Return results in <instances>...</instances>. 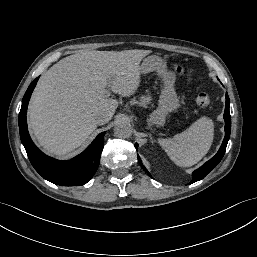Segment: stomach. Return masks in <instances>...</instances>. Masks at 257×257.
Here are the masks:
<instances>
[{"label":"stomach","instance_id":"0dacf381","mask_svg":"<svg viewBox=\"0 0 257 257\" xmlns=\"http://www.w3.org/2000/svg\"><path fill=\"white\" fill-rule=\"evenodd\" d=\"M152 71L158 73L163 80L164 86L159 96L158 107L150 115L148 123L163 125L166 115L179 107V98L174 89L175 75L167 71L166 62L156 55L146 57L140 65V72L142 74H147Z\"/></svg>","mask_w":257,"mask_h":257}]
</instances>
